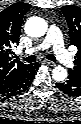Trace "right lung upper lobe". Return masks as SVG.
<instances>
[{"label": "right lung upper lobe", "instance_id": "1", "mask_svg": "<svg viewBox=\"0 0 81 124\" xmlns=\"http://www.w3.org/2000/svg\"><path fill=\"white\" fill-rule=\"evenodd\" d=\"M31 5L17 2L0 12V85L10 81L27 64L13 59L19 44L22 19Z\"/></svg>", "mask_w": 81, "mask_h": 124}]
</instances>
